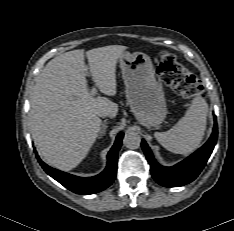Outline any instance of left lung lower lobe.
Returning a JSON list of instances; mask_svg holds the SVG:
<instances>
[{
	"label": "left lung lower lobe",
	"instance_id": "1",
	"mask_svg": "<svg viewBox=\"0 0 234 231\" xmlns=\"http://www.w3.org/2000/svg\"><path fill=\"white\" fill-rule=\"evenodd\" d=\"M216 141L217 121L214 117V129L209 140L191 156L172 167L159 165L144 140H142V149L151 165L150 171L155 181L165 187H179L192 182L199 175L208 161Z\"/></svg>",
	"mask_w": 234,
	"mask_h": 231
}]
</instances>
